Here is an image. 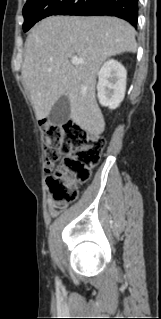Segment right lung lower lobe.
Returning <instances> with one entry per match:
<instances>
[{
    "label": "right lung lower lobe",
    "instance_id": "98d812e1",
    "mask_svg": "<svg viewBox=\"0 0 161 319\" xmlns=\"http://www.w3.org/2000/svg\"><path fill=\"white\" fill-rule=\"evenodd\" d=\"M69 15L116 16L136 27L138 0H86L78 10Z\"/></svg>",
    "mask_w": 161,
    "mask_h": 319
}]
</instances>
